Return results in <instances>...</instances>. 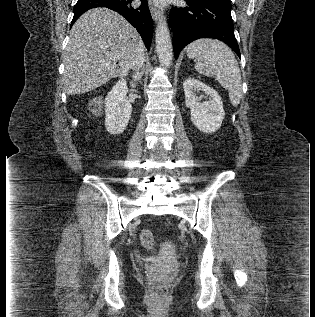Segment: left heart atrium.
Returning a JSON list of instances; mask_svg holds the SVG:
<instances>
[{
  "instance_id": "left-heart-atrium-1",
  "label": "left heart atrium",
  "mask_w": 315,
  "mask_h": 317,
  "mask_svg": "<svg viewBox=\"0 0 315 317\" xmlns=\"http://www.w3.org/2000/svg\"><path fill=\"white\" fill-rule=\"evenodd\" d=\"M154 1H163V0H154Z\"/></svg>"
}]
</instances>
